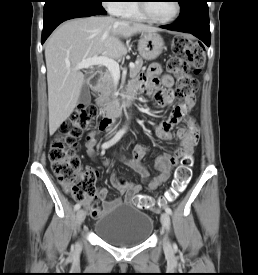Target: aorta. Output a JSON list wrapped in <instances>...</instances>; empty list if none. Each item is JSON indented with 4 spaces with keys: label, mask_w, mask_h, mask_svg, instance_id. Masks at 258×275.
Here are the masks:
<instances>
[{
    "label": "aorta",
    "mask_w": 258,
    "mask_h": 275,
    "mask_svg": "<svg viewBox=\"0 0 258 275\" xmlns=\"http://www.w3.org/2000/svg\"><path fill=\"white\" fill-rule=\"evenodd\" d=\"M126 129H127V128H126V126H125V127L123 128V130L126 131Z\"/></svg>",
    "instance_id": "aorta-1"
}]
</instances>
